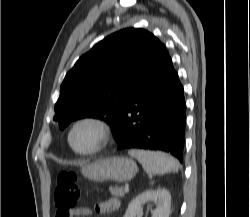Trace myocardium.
Segmentation results:
<instances>
[{
    "label": "myocardium",
    "instance_id": "f54148a6",
    "mask_svg": "<svg viewBox=\"0 0 250 217\" xmlns=\"http://www.w3.org/2000/svg\"><path fill=\"white\" fill-rule=\"evenodd\" d=\"M83 125L92 126L96 131V143L93 147L85 150L76 149L72 143V135L74 131ZM110 138V127L103 120L94 116H85L75 120L70 126L67 133V142L72 151L78 155H93L99 151H101L108 143Z\"/></svg>",
    "mask_w": 250,
    "mask_h": 217
}]
</instances>
